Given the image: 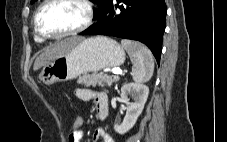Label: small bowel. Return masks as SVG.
<instances>
[{"label":"small bowel","mask_w":227,"mask_h":142,"mask_svg":"<svg viewBox=\"0 0 227 142\" xmlns=\"http://www.w3.org/2000/svg\"><path fill=\"white\" fill-rule=\"evenodd\" d=\"M75 95L82 101L93 100L97 106V109L100 105L107 103V96L101 91L81 88L75 91ZM83 133V130L79 133L71 132L68 137V142H81ZM99 140H101V142H114L112 137L102 128L96 129L93 134V142H98Z\"/></svg>","instance_id":"c3829d8e"}]
</instances>
